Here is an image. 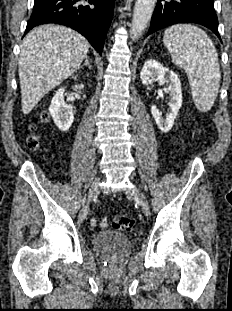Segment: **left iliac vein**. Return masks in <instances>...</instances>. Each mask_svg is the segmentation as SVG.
<instances>
[{"mask_svg": "<svg viewBox=\"0 0 232 311\" xmlns=\"http://www.w3.org/2000/svg\"><path fill=\"white\" fill-rule=\"evenodd\" d=\"M128 198L136 199L140 203L141 210L145 216H148L150 213L149 203L144 196V194L138 189H130L126 192Z\"/></svg>", "mask_w": 232, "mask_h": 311, "instance_id": "left-iliac-vein-1", "label": "left iliac vein"}]
</instances>
